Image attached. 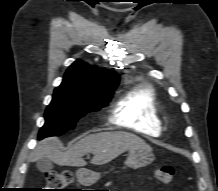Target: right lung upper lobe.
<instances>
[{"label":"right lung upper lobe","instance_id":"right-lung-upper-lobe-1","mask_svg":"<svg viewBox=\"0 0 218 191\" xmlns=\"http://www.w3.org/2000/svg\"><path fill=\"white\" fill-rule=\"evenodd\" d=\"M118 84L117 73L77 60L68 68L57 88L81 96L104 97L112 96Z\"/></svg>","mask_w":218,"mask_h":191}]
</instances>
